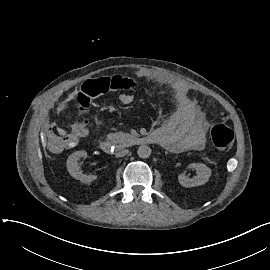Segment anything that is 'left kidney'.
I'll return each instance as SVG.
<instances>
[{"label": "left kidney", "instance_id": "obj_1", "mask_svg": "<svg viewBox=\"0 0 270 270\" xmlns=\"http://www.w3.org/2000/svg\"><path fill=\"white\" fill-rule=\"evenodd\" d=\"M191 166L193 168H196L200 174L198 176H194L193 178H187L183 174L178 176V181L181 186L185 188L195 187V186H201L205 184L210 176H211V169L207 167L203 163H192Z\"/></svg>", "mask_w": 270, "mask_h": 270}]
</instances>
